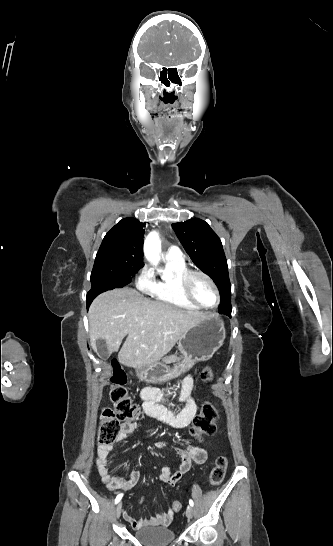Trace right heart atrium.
Listing matches in <instances>:
<instances>
[{"label":"right heart atrium","instance_id":"obj_1","mask_svg":"<svg viewBox=\"0 0 333 546\" xmlns=\"http://www.w3.org/2000/svg\"><path fill=\"white\" fill-rule=\"evenodd\" d=\"M156 280L152 268L145 265L138 272L135 278L136 288L146 294H154L156 290Z\"/></svg>","mask_w":333,"mask_h":546}]
</instances>
